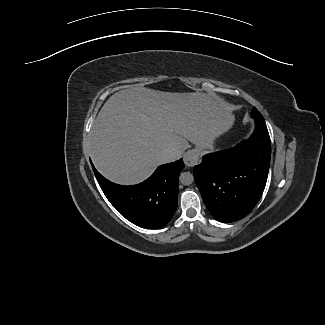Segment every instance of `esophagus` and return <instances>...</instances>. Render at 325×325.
Segmentation results:
<instances>
[{
	"label": "esophagus",
	"instance_id": "obj_1",
	"mask_svg": "<svg viewBox=\"0 0 325 325\" xmlns=\"http://www.w3.org/2000/svg\"><path fill=\"white\" fill-rule=\"evenodd\" d=\"M199 161V153L196 149L188 150L184 154V163L188 167L195 166Z\"/></svg>",
	"mask_w": 325,
	"mask_h": 325
}]
</instances>
